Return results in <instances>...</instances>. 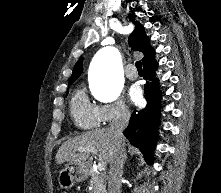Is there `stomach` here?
I'll list each match as a JSON object with an SVG mask.
<instances>
[{
	"instance_id": "stomach-1",
	"label": "stomach",
	"mask_w": 221,
	"mask_h": 193,
	"mask_svg": "<svg viewBox=\"0 0 221 193\" xmlns=\"http://www.w3.org/2000/svg\"><path fill=\"white\" fill-rule=\"evenodd\" d=\"M88 175L85 166L78 164H67L58 175L59 186L63 189H70L76 182L83 181Z\"/></svg>"
}]
</instances>
